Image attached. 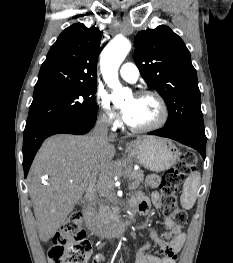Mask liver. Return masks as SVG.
<instances>
[{
	"label": "liver",
	"instance_id": "obj_1",
	"mask_svg": "<svg viewBox=\"0 0 233 263\" xmlns=\"http://www.w3.org/2000/svg\"><path fill=\"white\" fill-rule=\"evenodd\" d=\"M114 155L110 141L98 149L91 134H60L44 141L32 164L29 183L42 241L54 236L88 185L107 175ZM43 177L45 184L41 183Z\"/></svg>",
	"mask_w": 233,
	"mask_h": 263
}]
</instances>
